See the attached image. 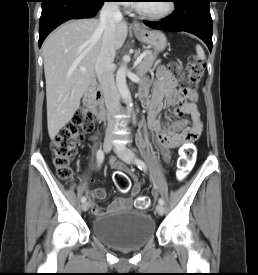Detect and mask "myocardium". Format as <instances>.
I'll return each mask as SVG.
<instances>
[{
	"instance_id": "f54148a6",
	"label": "myocardium",
	"mask_w": 258,
	"mask_h": 275,
	"mask_svg": "<svg viewBox=\"0 0 258 275\" xmlns=\"http://www.w3.org/2000/svg\"><path fill=\"white\" fill-rule=\"evenodd\" d=\"M135 7V10L140 14L142 15L143 17H146L148 19H151V20H161V19H164V18H167L168 16H170L171 14H173L176 10V4H175V1L173 0H169L168 1V8L165 12L161 13V14H151L147 11H145L144 9H142L139 4H135L134 5Z\"/></svg>"
}]
</instances>
